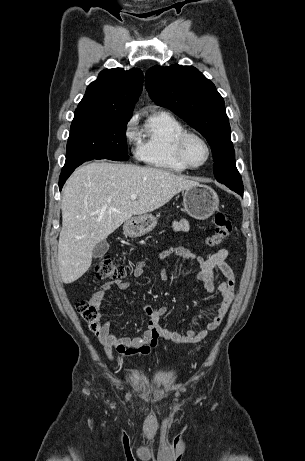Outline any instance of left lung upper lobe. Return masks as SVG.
I'll return each instance as SVG.
<instances>
[{
  "label": "left lung upper lobe",
  "instance_id": "1",
  "mask_svg": "<svg viewBox=\"0 0 305 461\" xmlns=\"http://www.w3.org/2000/svg\"><path fill=\"white\" fill-rule=\"evenodd\" d=\"M145 86L156 104L172 110L206 138L217 181L241 195L243 183L235 164L229 119L214 84L196 68L175 64L150 68Z\"/></svg>",
  "mask_w": 305,
  "mask_h": 461
}]
</instances>
